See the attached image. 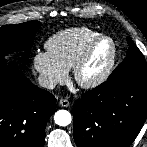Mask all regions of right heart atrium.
Wrapping results in <instances>:
<instances>
[{
    "instance_id": "obj_1",
    "label": "right heart atrium",
    "mask_w": 147,
    "mask_h": 147,
    "mask_svg": "<svg viewBox=\"0 0 147 147\" xmlns=\"http://www.w3.org/2000/svg\"><path fill=\"white\" fill-rule=\"evenodd\" d=\"M33 68L37 72L41 84L49 89L64 83L68 77V69L57 62L48 52H37L34 55Z\"/></svg>"
}]
</instances>
